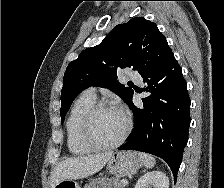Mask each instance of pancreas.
Listing matches in <instances>:
<instances>
[{
  "mask_svg": "<svg viewBox=\"0 0 224 188\" xmlns=\"http://www.w3.org/2000/svg\"><path fill=\"white\" fill-rule=\"evenodd\" d=\"M84 188H124L117 178L98 177L92 179Z\"/></svg>",
  "mask_w": 224,
  "mask_h": 188,
  "instance_id": "cf45deb5",
  "label": "pancreas"
}]
</instances>
